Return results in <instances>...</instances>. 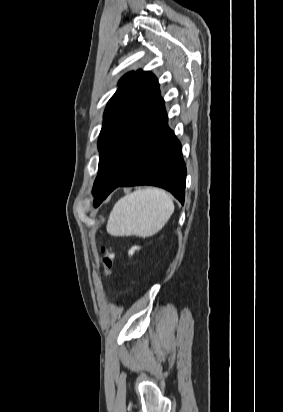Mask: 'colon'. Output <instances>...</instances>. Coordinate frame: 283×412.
Returning a JSON list of instances; mask_svg holds the SVG:
<instances>
[{
  "instance_id": "1",
  "label": "colon",
  "mask_w": 283,
  "mask_h": 412,
  "mask_svg": "<svg viewBox=\"0 0 283 412\" xmlns=\"http://www.w3.org/2000/svg\"><path fill=\"white\" fill-rule=\"evenodd\" d=\"M100 262L103 268V275L108 278L114 264V254L112 250L107 246L101 247V257Z\"/></svg>"
}]
</instances>
